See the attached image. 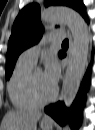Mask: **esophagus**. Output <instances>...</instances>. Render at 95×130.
I'll use <instances>...</instances> for the list:
<instances>
[{"mask_svg": "<svg viewBox=\"0 0 95 130\" xmlns=\"http://www.w3.org/2000/svg\"><path fill=\"white\" fill-rule=\"evenodd\" d=\"M67 33H68V37H69L68 58H70V56L72 54V51H73V39H72L71 33L69 31H67ZM44 119L45 120H50V117L49 116H45Z\"/></svg>", "mask_w": 95, "mask_h": 130, "instance_id": "obj_1", "label": "esophagus"}]
</instances>
